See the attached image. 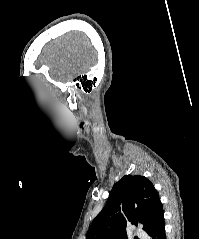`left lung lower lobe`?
I'll return each instance as SVG.
<instances>
[{"instance_id":"1","label":"left lung lower lobe","mask_w":199,"mask_h":239,"mask_svg":"<svg viewBox=\"0 0 199 239\" xmlns=\"http://www.w3.org/2000/svg\"><path fill=\"white\" fill-rule=\"evenodd\" d=\"M146 232L151 239H166L163 209L154 218Z\"/></svg>"}]
</instances>
